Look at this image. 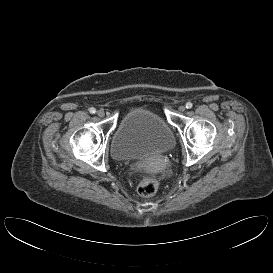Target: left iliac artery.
Masks as SVG:
<instances>
[{"instance_id":"44dca946","label":"left iliac artery","mask_w":273,"mask_h":273,"mask_svg":"<svg viewBox=\"0 0 273 273\" xmlns=\"http://www.w3.org/2000/svg\"><path fill=\"white\" fill-rule=\"evenodd\" d=\"M192 106H193V104H192L191 102H187V103H186V108H187V109H191Z\"/></svg>"}]
</instances>
